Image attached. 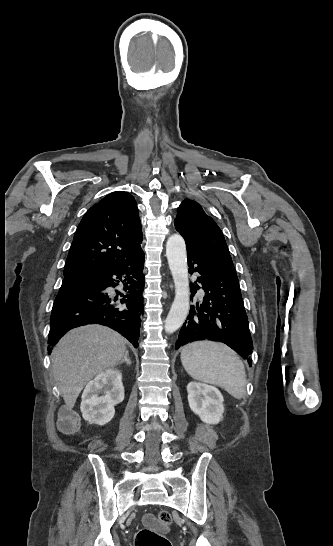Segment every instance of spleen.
I'll return each instance as SVG.
<instances>
[{"instance_id":"3e777b00","label":"spleen","mask_w":333,"mask_h":546,"mask_svg":"<svg viewBox=\"0 0 333 546\" xmlns=\"http://www.w3.org/2000/svg\"><path fill=\"white\" fill-rule=\"evenodd\" d=\"M181 362L195 380L222 387L240 399L246 387L243 362L228 346L213 341H196L185 345Z\"/></svg>"}]
</instances>
